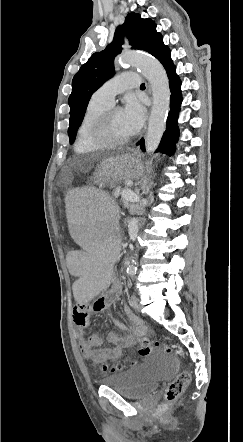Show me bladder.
<instances>
[{
  "label": "bladder",
  "instance_id": "bladder-1",
  "mask_svg": "<svg viewBox=\"0 0 243 442\" xmlns=\"http://www.w3.org/2000/svg\"><path fill=\"white\" fill-rule=\"evenodd\" d=\"M176 363L168 356L154 354L129 371L115 372L101 379L109 387L127 399H142L153 393L161 382L174 375Z\"/></svg>",
  "mask_w": 243,
  "mask_h": 442
}]
</instances>
